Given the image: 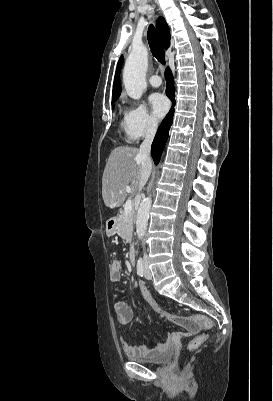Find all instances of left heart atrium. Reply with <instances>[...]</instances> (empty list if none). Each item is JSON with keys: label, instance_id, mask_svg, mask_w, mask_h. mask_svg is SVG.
I'll use <instances>...</instances> for the list:
<instances>
[{"label": "left heart atrium", "instance_id": "39dd6f15", "mask_svg": "<svg viewBox=\"0 0 273 401\" xmlns=\"http://www.w3.org/2000/svg\"><path fill=\"white\" fill-rule=\"evenodd\" d=\"M148 101L152 115L158 120L164 117L169 110V102L162 94H152Z\"/></svg>", "mask_w": 273, "mask_h": 401}]
</instances>
